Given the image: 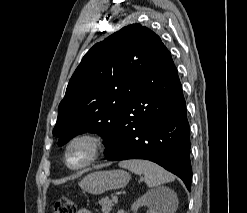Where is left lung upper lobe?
<instances>
[{"label":"left lung upper lobe","mask_w":247,"mask_h":213,"mask_svg":"<svg viewBox=\"0 0 247 213\" xmlns=\"http://www.w3.org/2000/svg\"><path fill=\"white\" fill-rule=\"evenodd\" d=\"M169 51L150 29L131 24L95 44L83 57L58 108L53 135L63 145L72 137L98 133L112 145L125 105L145 73Z\"/></svg>","instance_id":"5c2ea615"}]
</instances>
